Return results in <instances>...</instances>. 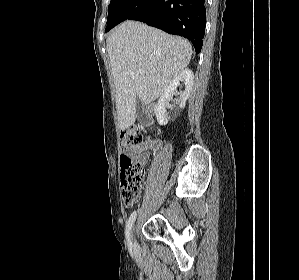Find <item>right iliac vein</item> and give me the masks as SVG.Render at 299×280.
<instances>
[{"mask_svg":"<svg viewBox=\"0 0 299 280\" xmlns=\"http://www.w3.org/2000/svg\"><path fill=\"white\" fill-rule=\"evenodd\" d=\"M134 231H135V228L133 227V229L131 231V244H132V248L136 249V242H135V239H134Z\"/></svg>","mask_w":299,"mask_h":280,"instance_id":"1","label":"right iliac vein"}]
</instances>
